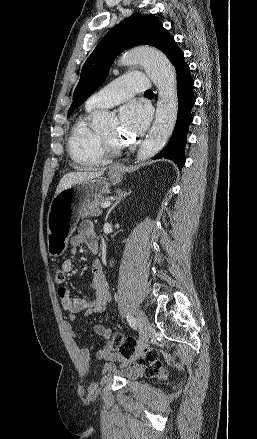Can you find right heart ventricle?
<instances>
[{
  "label": "right heart ventricle",
  "instance_id": "e07e8e85",
  "mask_svg": "<svg viewBox=\"0 0 257 439\" xmlns=\"http://www.w3.org/2000/svg\"><path fill=\"white\" fill-rule=\"evenodd\" d=\"M68 152L77 168H94L105 157L101 136L95 132L87 117H80L74 123L68 138Z\"/></svg>",
  "mask_w": 257,
  "mask_h": 439
}]
</instances>
